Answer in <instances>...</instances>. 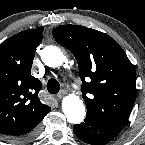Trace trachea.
<instances>
[{
    "label": "trachea",
    "instance_id": "3493384b",
    "mask_svg": "<svg viewBox=\"0 0 145 145\" xmlns=\"http://www.w3.org/2000/svg\"><path fill=\"white\" fill-rule=\"evenodd\" d=\"M47 90L50 94H57L60 90V84L56 79H49L47 83Z\"/></svg>",
    "mask_w": 145,
    "mask_h": 145
}]
</instances>
